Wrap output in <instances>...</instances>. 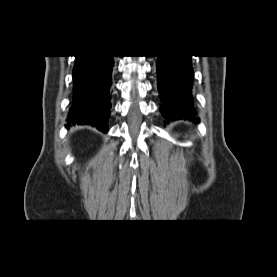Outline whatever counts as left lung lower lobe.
<instances>
[{
    "label": "left lung lower lobe",
    "instance_id": "left-lung-lower-lobe-1",
    "mask_svg": "<svg viewBox=\"0 0 277 277\" xmlns=\"http://www.w3.org/2000/svg\"><path fill=\"white\" fill-rule=\"evenodd\" d=\"M158 88L161 112L166 123L179 119L199 122L192 105L191 88L194 77L191 56H157Z\"/></svg>",
    "mask_w": 277,
    "mask_h": 277
}]
</instances>
